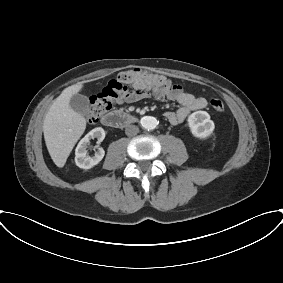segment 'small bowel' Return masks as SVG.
Instances as JSON below:
<instances>
[{
    "instance_id": "obj_1",
    "label": "small bowel",
    "mask_w": 283,
    "mask_h": 283,
    "mask_svg": "<svg viewBox=\"0 0 283 283\" xmlns=\"http://www.w3.org/2000/svg\"><path fill=\"white\" fill-rule=\"evenodd\" d=\"M153 94L159 100L175 101L180 107L175 111H168L165 117L172 125L182 123L188 115L198 109L207 106V100L202 97L186 92L180 85L170 83L168 88L160 91H154ZM147 95L136 94L134 90H125L122 95L114 100L115 104L134 103Z\"/></svg>"
}]
</instances>
